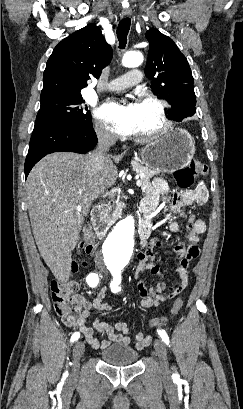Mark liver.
<instances>
[{
	"label": "liver",
	"instance_id": "6515ba94",
	"mask_svg": "<svg viewBox=\"0 0 243 409\" xmlns=\"http://www.w3.org/2000/svg\"><path fill=\"white\" fill-rule=\"evenodd\" d=\"M118 170L110 158L101 173L93 174L87 156L56 152L45 156L31 170L25 188L32 232L38 250L54 277L69 279L72 250L92 202L111 187ZM77 205L81 210L75 209Z\"/></svg>",
	"mask_w": 243,
	"mask_h": 409
}]
</instances>
